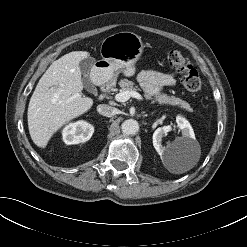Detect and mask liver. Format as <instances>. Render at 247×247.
<instances>
[{
  "label": "liver",
  "instance_id": "1",
  "mask_svg": "<svg viewBox=\"0 0 247 247\" xmlns=\"http://www.w3.org/2000/svg\"><path fill=\"white\" fill-rule=\"evenodd\" d=\"M88 56L86 51L65 54L40 78L27 112L29 133L38 147L45 148L58 129L92 107L93 99L81 95L79 64Z\"/></svg>",
  "mask_w": 247,
  "mask_h": 247
}]
</instances>
